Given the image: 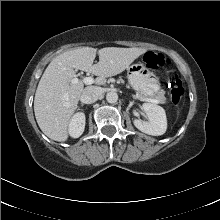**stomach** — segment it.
Here are the masks:
<instances>
[{"label":"stomach","mask_w":220,"mask_h":220,"mask_svg":"<svg viewBox=\"0 0 220 220\" xmlns=\"http://www.w3.org/2000/svg\"><path fill=\"white\" fill-rule=\"evenodd\" d=\"M130 86L144 97H158L161 93L159 77L143 64H133L127 68Z\"/></svg>","instance_id":"obj_1"}]
</instances>
